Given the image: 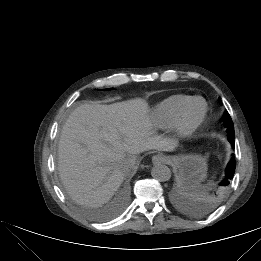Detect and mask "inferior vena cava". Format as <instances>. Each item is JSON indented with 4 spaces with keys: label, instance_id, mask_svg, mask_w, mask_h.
<instances>
[{
    "label": "inferior vena cava",
    "instance_id": "1",
    "mask_svg": "<svg viewBox=\"0 0 261 261\" xmlns=\"http://www.w3.org/2000/svg\"><path fill=\"white\" fill-rule=\"evenodd\" d=\"M122 165H123L125 168H129L130 162H129L127 159H124V160L122 161Z\"/></svg>",
    "mask_w": 261,
    "mask_h": 261
}]
</instances>
